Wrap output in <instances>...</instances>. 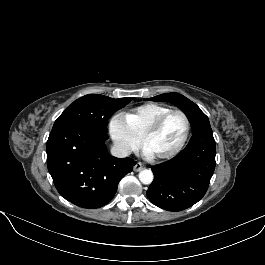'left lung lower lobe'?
Returning a JSON list of instances; mask_svg holds the SVG:
<instances>
[{
	"mask_svg": "<svg viewBox=\"0 0 265 265\" xmlns=\"http://www.w3.org/2000/svg\"><path fill=\"white\" fill-rule=\"evenodd\" d=\"M216 146L210 125L192 132L187 146L174 158L151 166L154 181L149 200L167 211H181L205 195L215 169Z\"/></svg>",
	"mask_w": 265,
	"mask_h": 265,
	"instance_id": "0a47b994",
	"label": "left lung lower lobe"
}]
</instances>
